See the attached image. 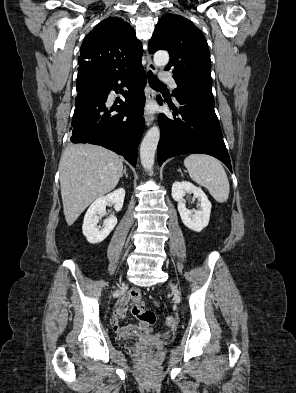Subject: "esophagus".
<instances>
[{
    "mask_svg": "<svg viewBox=\"0 0 296 393\" xmlns=\"http://www.w3.org/2000/svg\"><path fill=\"white\" fill-rule=\"evenodd\" d=\"M146 61H147V70L152 71L153 73H156L157 67L153 63L151 55L148 51L146 52ZM146 98H147L148 103L153 101V99H154V92L149 86H147ZM144 118H145V122H146L147 126H150L155 119L154 114H152L148 111H145Z\"/></svg>",
    "mask_w": 296,
    "mask_h": 393,
    "instance_id": "esophagus-1",
    "label": "esophagus"
}]
</instances>
